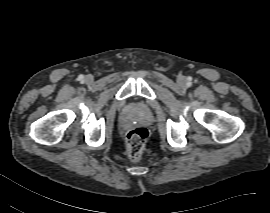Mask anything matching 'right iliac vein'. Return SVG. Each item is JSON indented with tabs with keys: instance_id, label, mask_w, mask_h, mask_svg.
<instances>
[{
	"instance_id": "right-iliac-vein-1",
	"label": "right iliac vein",
	"mask_w": 270,
	"mask_h": 213,
	"mask_svg": "<svg viewBox=\"0 0 270 213\" xmlns=\"http://www.w3.org/2000/svg\"><path fill=\"white\" fill-rule=\"evenodd\" d=\"M85 80H86L87 82H91V81H92V77H91V76H87V77L85 78Z\"/></svg>"
}]
</instances>
